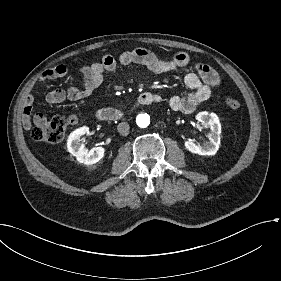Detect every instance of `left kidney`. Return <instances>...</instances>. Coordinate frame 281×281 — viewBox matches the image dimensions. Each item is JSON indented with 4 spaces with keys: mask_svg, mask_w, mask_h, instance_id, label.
Here are the masks:
<instances>
[{
    "mask_svg": "<svg viewBox=\"0 0 281 281\" xmlns=\"http://www.w3.org/2000/svg\"><path fill=\"white\" fill-rule=\"evenodd\" d=\"M196 120L210 128L208 133L209 141L203 145L195 144L193 141H186L185 147L192 153L199 155H215L220 145L221 124L215 113L207 111L199 112L195 116Z\"/></svg>",
    "mask_w": 281,
    "mask_h": 281,
    "instance_id": "5707ae66",
    "label": "left kidney"
}]
</instances>
